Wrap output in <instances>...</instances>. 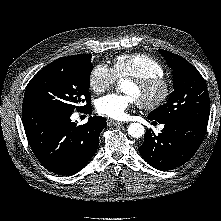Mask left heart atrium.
Listing matches in <instances>:
<instances>
[{"mask_svg":"<svg viewBox=\"0 0 221 221\" xmlns=\"http://www.w3.org/2000/svg\"><path fill=\"white\" fill-rule=\"evenodd\" d=\"M135 97L131 95L109 94L101 97L96 104L99 114L112 119L122 120L134 104Z\"/></svg>","mask_w":221,"mask_h":221,"instance_id":"1","label":"left heart atrium"}]
</instances>
